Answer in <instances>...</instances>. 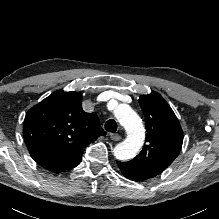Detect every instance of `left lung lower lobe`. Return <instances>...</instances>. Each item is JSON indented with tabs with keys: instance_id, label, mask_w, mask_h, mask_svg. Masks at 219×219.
<instances>
[{
	"instance_id": "obj_1",
	"label": "left lung lower lobe",
	"mask_w": 219,
	"mask_h": 219,
	"mask_svg": "<svg viewBox=\"0 0 219 219\" xmlns=\"http://www.w3.org/2000/svg\"><path fill=\"white\" fill-rule=\"evenodd\" d=\"M120 171L122 172V174L130 179V180H133V181H142L137 175L131 173L130 171H127V170H124V169H120Z\"/></svg>"
}]
</instances>
